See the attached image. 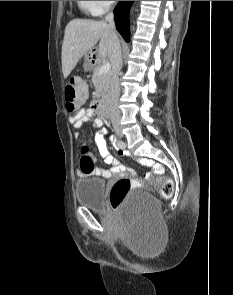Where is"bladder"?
<instances>
[{
	"instance_id": "31cf9c89",
	"label": "bladder",
	"mask_w": 233,
	"mask_h": 295,
	"mask_svg": "<svg viewBox=\"0 0 233 295\" xmlns=\"http://www.w3.org/2000/svg\"><path fill=\"white\" fill-rule=\"evenodd\" d=\"M105 181L95 177H84L76 181L75 193L77 202L92 211L103 213L106 211ZM160 204L155 196L141 191L138 192L127 204L123 211L145 221H153L159 215Z\"/></svg>"
}]
</instances>
